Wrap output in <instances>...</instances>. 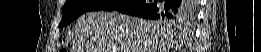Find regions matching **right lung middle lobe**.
<instances>
[{
	"label": "right lung middle lobe",
	"instance_id": "obj_1",
	"mask_svg": "<svg viewBox=\"0 0 261 52\" xmlns=\"http://www.w3.org/2000/svg\"><path fill=\"white\" fill-rule=\"evenodd\" d=\"M114 0H67L65 5L63 6L62 13L63 18L60 23L61 26H66L71 23L74 19H76L81 14L85 12L94 11V10H102L105 7H108L114 4ZM185 8L187 10H191L190 1L185 2ZM163 21L168 25H174L175 23H182L183 17L176 16L175 18H167V17H158L156 20Z\"/></svg>",
	"mask_w": 261,
	"mask_h": 52
}]
</instances>
